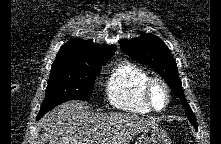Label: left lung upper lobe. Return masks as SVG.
I'll list each match as a JSON object with an SVG mask.
<instances>
[{
    "instance_id": "5c2ea615",
    "label": "left lung upper lobe",
    "mask_w": 221,
    "mask_h": 144,
    "mask_svg": "<svg viewBox=\"0 0 221 144\" xmlns=\"http://www.w3.org/2000/svg\"><path fill=\"white\" fill-rule=\"evenodd\" d=\"M120 46L129 57L150 66L163 77L175 95L180 98L189 121L197 130L195 116L182 90L176 61L163 41L155 35L142 34L129 41H120Z\"/></svg>"
}]
</instances>
